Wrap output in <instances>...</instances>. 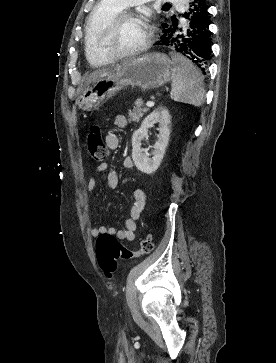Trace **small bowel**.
I'll list each match as a JSON object with an SVG mask.
<instances>
[{"label":"small bowel","instance_id":"small-bowel-1","mask_svg":"<svg viewBox=\"0 0 276 363\" xmlns=\"http://www.w3.org/2000/svg\"><path fill=\"white\" fill-rule=\"evenodd\" d=\"M114 124L119 128H125L128 124L127 118L119 114L114 118ZM106 146L109 150H116L119 147L120 141L117 135L108 134L105 138ZM125 169H132L134 167L133 160L130 157H126L123 161ZM108 168L107 164H101L98 166L97 171L103 172ZM106 183L109 188L115 189L119 186V175L114 170H109L106 173ZM96 188V180L94 177L89 178L87 182V190L92 193ZM134 203L129 210V215L124 221V226L121 229H115L112 227H105L100 225H94L90 228V234L92 236H98L103 233L115 235L117 238L124 241H133L136 237L137 221L141 217L145 204L146 195L141 188L135 189L133 193Z\"/></svg>","mask_w":276,"mask_h":363}]
</instances>
